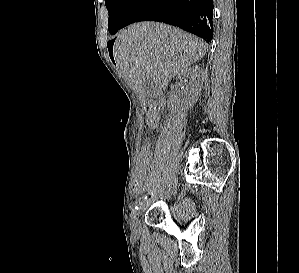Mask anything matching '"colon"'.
<instances>
[{"instance_id":"colon-1","label":"colon","mask_w":299,"mask_h":273,"mask_svg":"<svg viewBox=\"0 0 299 273\" xmlns=\"http://www.w3.org/2000/svg\"><path fill=\"white\" fill-rule=\"evenodd\" d=\"M142 149L145 150V151H150L152 149V143H151V141L150 140H145L143 142Z\"/></svg>"}]
</instances>
